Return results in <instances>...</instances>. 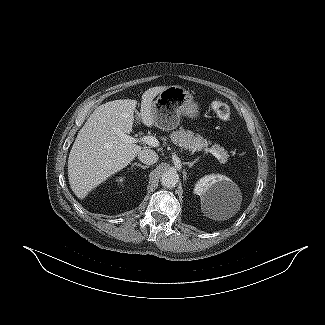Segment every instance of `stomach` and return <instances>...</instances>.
Listing matches in <instances>:
<instances>
[{"label": "stomach", "mask_w": 325, "mask_h": 325, "mask_svg": "<svg viewBox=\"0 0 325 325\" xmlns=\"http://www.w3.org/2000/svg\"><path fill=\"white\" fill-rule=\"evenodd\" d=\"M154 125L162 130H173L180 122L181 115L195 119L199 116V104L184 87H166L152 103Z\"/></svg>", "instance_id": "stomach-1"}]
</instances>
